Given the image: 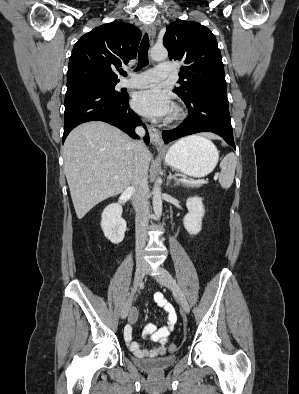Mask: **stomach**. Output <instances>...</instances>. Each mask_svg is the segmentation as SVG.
<instances>
[{
  "label": "stomach",
  "mask_w": 299,
  "mask_h": 394,
  "mask_svg": "<svg viewBox=\"0 0 299 394\" xmlns=\"http://www.w3.org/2000/svg\"><path fill=\"white\" fill-rule=\"evenodd\" d=\"M219 158L217 148L196 136L179 140L165 154V162L172 168L191 177L208 175Z\"/></svg>",
  "instance_id": "stomach-1"
}]
</instances>
